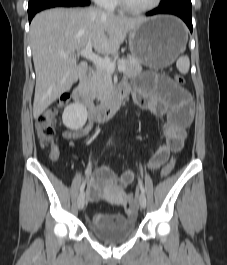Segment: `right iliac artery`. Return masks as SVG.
Instances as JSON below:
<instances>
[{
	"label": "right iliac artery",
	"mask_w": 227,
	"mask_h": 265,
	"mask_svg": "<svg viewBox=\"0 0 227 265\" xmlns=\"http://www.w3.org/2000/svg\"><path fill=\"white\" fill-rule=\"evenodd\" d=\"M85 185H86V180L83 181V183H82V185L80 187V193H82L84 191Z\"/></svg>",
	"instance_id": "right-iliac-artery-1"
}]
</instances>
